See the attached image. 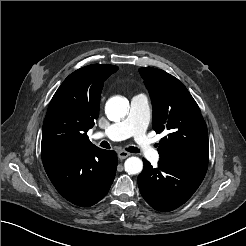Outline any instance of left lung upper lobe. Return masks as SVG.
Wrapping results in <instances>:
<instances>
[{
  "mask_svg": "<svg viewBox=\"0 0 246 246\" xmlns=\"http://www.w3.org/2000/svg\"><path fill=\"white\" fill-rule=\"evenodd\" d=\"M153 105V129L167 131L160 140V158H175L208 164V132L200 109L174 76L152 67L139 69Z\"/></svg>",
  "mask_w": 246,
  "mask_h": 246,
  "instance_id": "left-lung-upper-lobe-1",
  "label": "left lung upper lobe"
}]
</instances>
